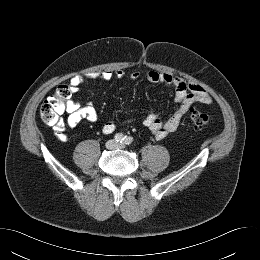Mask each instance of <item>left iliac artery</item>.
Wrapping results in <instances>:
<instances>
[{"instance_id":"left-iliac-artery-1","label":"left iliac artery","mask_w":260,"mask_h":260,"mask_svg":"<svg viewBox=\"0 0 260 260\" xmlns=\"http://www.w3.org/2000/svg\"><path fill=\"white\" fill-rule=\"evenodd\" d=\"M133 141H134V139H133V137H131V136H125V138H124V143H125L126 145L131 144Z\"/></svg>"}]
</instances>
